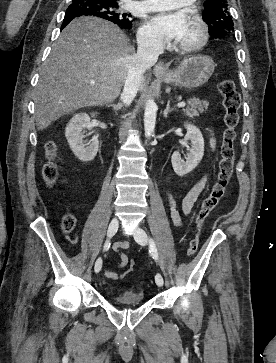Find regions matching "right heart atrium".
<instances>
[{"label": "right heart atrium", "instance_id": "1", "mask_svg": "<svg viewBox=\"0 0 276 363\" xmlns=\"http://www.w3.org/2000/svg\"><path fill=\"white\" fill-rule=\"evenodd\" d=\"M139 38L141 43L146 46L156 47L161 44L160 37L148 25L140 28Z\"/></svg>", "mask_w": 276, "mask_h": 363}]
</instances>
